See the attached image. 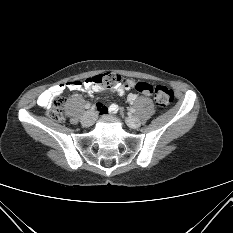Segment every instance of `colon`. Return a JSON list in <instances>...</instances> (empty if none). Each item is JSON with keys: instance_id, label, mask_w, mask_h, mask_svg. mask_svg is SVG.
I'll list each match as a JSON object with an SVG mask.
<instances>
[{"instance_id": "colon-1", "label": "colon", "mask_w": 233, "mask_h": 233, "mask_svg": "<svg viewBox=\"0 0 233 233\" xmlns=\"http://www.w3.org/2000/svg\"><path fill=\"white\" fill-rule=\"evenodd\" d=\"M87 80H91L92 85L106 88H111L119 84L128 86L127 80H122L120 75L113 72L98 74L88 78ZM134 88L142 94L152 96L159 108L168 107L174 99L173 91L163 85L153 86L147 82H138L134 85ZM60 94H57V97L52 100L51 105L46 112L47 116L50 119L57 122L64 119V114L61 109V98L59 96Z\"/></svg>"}]
</instances>
